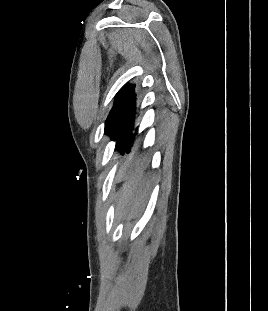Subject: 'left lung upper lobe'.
Wrapping results in <instances>:
<instances>
[{"mask_svg":"<svg viewBox=\"0 0 268 311\" xmlns=\"http://www.w3.org/2000/svg\"><path fill=\"white\" fill-rule=\"evenodd\" d=\"M134 88L135 85L126 84L119 90L115 97L114 105L105 122V133L109 135L111 139L117 130L119 115L126 105V102Z\"/></svg>","mask_w":268,"mask_h":311,"instance_id":"5c2ea615","label":"left lung upper lobe"}]
</instances>
